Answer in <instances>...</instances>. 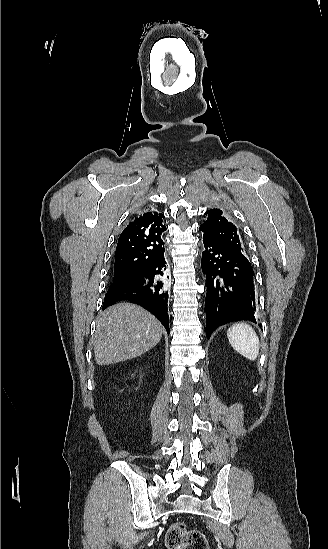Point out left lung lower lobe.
Returning <instances> with one entry per match:
<instances>
[{"label":"left lung lower lobe","instance_id":"obj_1","mask_svg":"<svg viewBox=\"0 0 328 549\" xmlns=\"http://www.w3.org/2000/svg\"><path fill=\"white\" fill-rule=\"evenodd\" d=\"M202 271L206 275V336L223 324L256 323L253 269L244 254L203 236Z\"/></svg>","mask_w":328,"mask_h":549}]
</instances>
